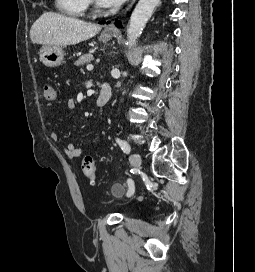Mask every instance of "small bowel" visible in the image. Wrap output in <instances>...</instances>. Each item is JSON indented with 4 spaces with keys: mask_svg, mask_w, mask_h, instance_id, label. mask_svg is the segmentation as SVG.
I'll return each instance as SVG.
<instances>
[{
    "mask_svg": "<svg viewBox=\"0 0 255 272\" xmlns=\"http://www.w3.org/2000/svg\"><path fill=\"white\" fill-rule=\"evenodd\" d=\"M67 107L69 111L73 112L76 109V105L73 101L68 102ZM50 138L53 141H58L60 136L58 132H52ZM65 153L69 159H76L82 155V149L73 143H67L65 145Z\"/></svg>",
    "mask_w": 255,
    "mask_h": 272,
    "instance_id": "obj_1",
    "label": "small bowel"
}]
</instances>
